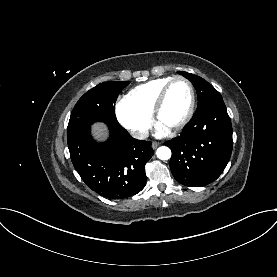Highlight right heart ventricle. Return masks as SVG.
<instances>
[{
    "label": "right heart ventricle",
    "mask_w": 277,
    "mask_h": 277,
    "mask_svg": "<svg viewBox=\"0 0 277 277\" xmlns=\"http://www.w3.org/2000/svg\"><path fill=\"white\" fill-rule=\"evenodd\" d=\"M173 77H163L150 80L132 88L126 98L140 111L151 115L154 103L162 88Z\"/></svg>",
    "instance_id": "obj_1"
}]
</instances>
